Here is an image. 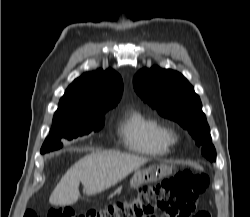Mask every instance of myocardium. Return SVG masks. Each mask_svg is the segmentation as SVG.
I'll return each mask as SVG.
<instances>
[{
  "label": "myocardium",
  "mask_w": 250,
  "mask_h": 217,
  "mask_svg": "<svg viewBox=\"0 0 250 217\" xmlns=\"http://www.w3.org/2000/svg\"><path fill=\"white\" fill-rule=\"evenodd\" d=\"M166 132H167L168 139L172 143L177 142L180 139V136L176 131H174V130H166Z\"/></svg>",
  "instance_id": "myocardium-1"
}]
</instances>
